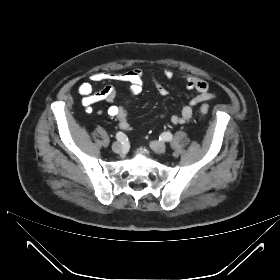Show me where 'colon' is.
Returning a JSON list of instances; mask_svg holds the SVG:
<instances>
[{"label": "colon", "mask_w": 280, "mask_h": 280, "mask_svg": "<svg viewBox=\"0 0 280 280\" xmlns=\"http://www.w3.org/2000/svg\"><path fill=\"white\" fill-rule=\"evenodd\" d=\"M208 111H209V108L207 106L203 105L200 107V113L206 114V113H208Z\"/></svg>", "instance_id": "obj_1"}]
</instances>
